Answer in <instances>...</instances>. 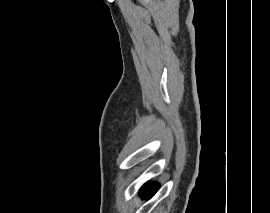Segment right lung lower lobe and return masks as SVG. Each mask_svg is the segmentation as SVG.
Here are the masks:
<instances>
[{
	"label": "right lung lower lobe",
	"instance_id": "98d812e1",
	"mask_svg": "<svg viewBox=\"0 0 270 213\" xmlns=\"http://www.w3.org/2000/svg\"><path fill=\"white\" fill-rule=\"evenodd\" d=\"M157 186L155 183L146 184L141 191L143 198L149 199L155 193Z\"/></svg>",
	"mask_w": 270,
	"mask_h": 213
}]
</instances>
